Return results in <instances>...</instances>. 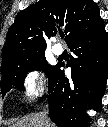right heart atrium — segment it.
<instances>
[{
  "label": "right heart atrium",
  "mask_w": 108,
  "mask_h": 127,
  "mask_svg": "<svg viewBox=\"0 0 108 127\" xmlns=\"http://www.w3.org/2000/svg\"><path fill=\"white\" fill-rule=\"evenodd\" d=\"M23 92L27 98L40 96L46 88V77L37 69L29 70L23 77Z\"/></svg>",
  "instance_id": "d8ad5b80"
}]
</instances>
